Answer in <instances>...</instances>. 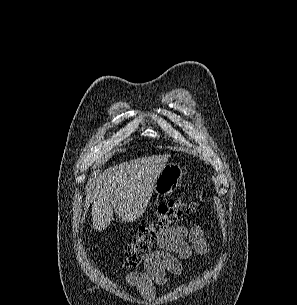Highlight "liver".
Returning a JSON list of instances; mask_svg holds the SVG:
<instances>
[{
  "mask_svg": "<svg viewBox=\"0 0 297 305\" xmlns=\"http://www.w3.org/2000/svg\"><path fill=\"white\" fill-rule=\"evenodd\" d=\"M169 155L136 158L109 167L93 182L92 227L101 232L113 220V209L125 222L140 218Z\"/></svg>",
  "mask_w": 297,
  "mask_h": 305,
  "instance_id": "6515ba94",
  "label": "liver"
}]
</instances>
